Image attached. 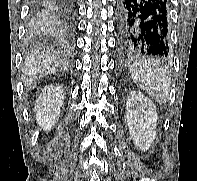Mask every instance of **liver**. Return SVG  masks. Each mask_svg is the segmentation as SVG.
Segmentation results:
<instances>
[{
	"instance_id": "6515ba94",
	"label": "liver",
	"mask_w": 197,
	"mask_h": 181,
	"mask_svg": "<svg viewBox=\"0 0 197 181\" xmlns=\"http://www.w3.org/2000/svg\"><path fill=\"white\" fill-rule=\"evenodd\" d=\"M66 64L53 49H37L25 58L22 69V81L24 85H31L38 79L65 70Z\"/></svg>"
}]
</instances>
